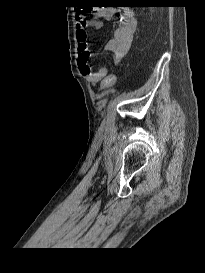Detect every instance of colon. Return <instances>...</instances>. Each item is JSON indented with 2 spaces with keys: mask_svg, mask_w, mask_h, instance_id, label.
<instances>
[{
  "mask_svg": "<svg viewBox=\"0 0 205 273\" xmlns=\"http://www.w3.org/2000/svg\"><path fill=\"white\" fill-rule=\"evenodd\" d=\"M115 76L113 75V74H110V75H108L105 79H104V81H103V83H102V87L104 88V89H107V88H109L114 82H115Z\"/></svg>",
  "mask_w": 205,
  "mask_h": 273,
  "instance_id": "obj_1",
  "label": "colon"
}]
</instances>
